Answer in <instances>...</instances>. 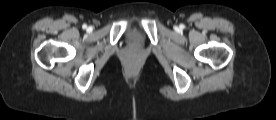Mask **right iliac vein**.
I'll use <instances>...</instances> for the list:
<instances>
[{"label": "right iliac vein", "instance_id": "obj_1", "mask_svg": "<svg viewBox=\"0 0 276 120\" xmlns=\"http://www.w3.org/2000/svg\"><path fill=\"white\" fill-rule=\"evenodd\" d=\"M89 30H92V28H91V27H89Z\"/></svg>", "mask_w": 276, "mask_h": 120}]
</instances>
